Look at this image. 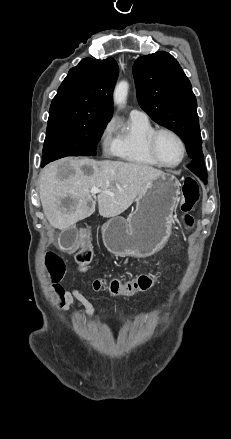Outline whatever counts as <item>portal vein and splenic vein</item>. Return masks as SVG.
Returning <instances> with one entry per match:
<instances>
[{
	"mask_svg": "<svg viewBox=\"0 0 231 439\" xmlns=\"http://www.w3.org/2000/svg\"><path fill=\"white\" fill-rule=\"evenodd\" d=\"M90 192H91L92 194H96V193H99V192H103V193H105V194H109V195L112 194V193L109 192V191H102V190H100V189L97 188V187H92V189H91Z\"/></svg>",
	"mask_w": 231,
	"mask_h": 439,
	"instance_id": "obj_1",
	"label": "portal vein and splenic vein"
}]
</instances>
